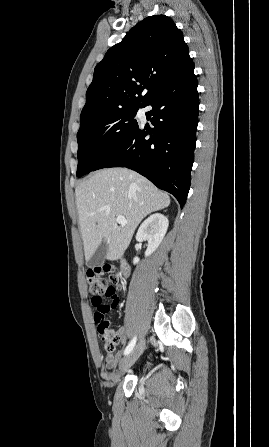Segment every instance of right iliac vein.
Returning <instances> with one entry per match:
<instances>
[{
    "instance_id": "63e3f726",
    "label": "right iliac vein",
    "mask_w": 269,
    "mask_h": 447,
    "mask_svg": "<svg viewBox=\"0 0 269 447\" xmlns=\"http://www.w3.org/2000/svg\"><path fill=\"white\" fill-rule=\"evenodd\" d=\"M144 345L145 341L141 339L136 345V347L130 352V354H128L120 361L119 369L121 372H126L135 363V361L142 354Z\"/></svg>"
}]
</instances>
